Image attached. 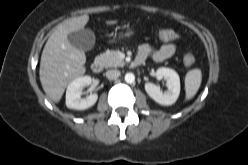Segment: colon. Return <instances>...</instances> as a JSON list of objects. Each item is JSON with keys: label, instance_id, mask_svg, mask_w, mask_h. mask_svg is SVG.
Segmentation results:
<instances>
[{"label": "colon", "instance_id": "1", "mask_svg": "<svg viewBox=\"0 0 248 165\" xmlns=\"http://www.w3.org/2000/svg\"><path fill=\"white\" fill-rule=\"evenodd\" d=\"M157 36L163 41H172L178 38L177 32L170 29H159ZM183 62L185 66L190 67L195 63V56L191 52H187L183 57Z\"/></svg>", "mask_w": 248, "mask_h": 165}]
</instances>
